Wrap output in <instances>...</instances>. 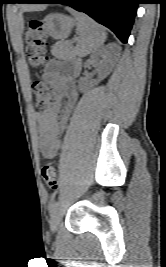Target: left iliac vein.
I'll use <instances>...</instances> for the list:
<instances>
[{
    "mask_svg": "<svg viewBox=\"0 0 166 267\" xmlns=\"http://www.w3.org/2000/svg\"><path fill=\"white\" fill-rule=\"evenodd\" d=\"M61 218H62V213L60 211H57L53 214L52 219H51V225H50L52 232L57 231Z\"/></svg>",
    "mask_w": 166,
    "mask_h": 267,
    "instance_id": "obj_1",
    "label": "left iliac vein"
}]
</instances>
